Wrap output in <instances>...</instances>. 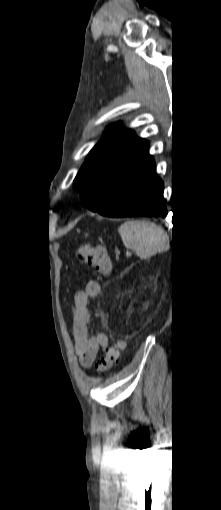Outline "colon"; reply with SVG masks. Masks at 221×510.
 I'll list each match as a JSON object with an SVG mask.
<instances>
[{
    "mask_svg": "<svg viewBox=\"0 0 221 510\" xmlns=\"http://www.w3.org/2000/svg\"><path fill=\"white\" fill-rule=\"evenodd\" d=\"M78 258L93 267L100 274H108L111 271V259L104 247L83 245L78 250ZM126 346V341L122 338L116 339L106 350L101 358L98 371L100 373L109 370L119 359L121 352Z\"/></svg>",
    "mask_w": 221,
    "mask_h": 510,
    "instance_id": "5ec220e1",
    "label": "colon"
}]
</instances>
